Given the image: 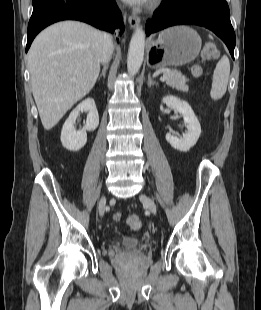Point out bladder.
<instances>
[{
  "mask_svg": "<svg viewBox=\"0 0 261 310\" xmlns=\"http://www.w3.org/2000/svg\"><path fill=\"white\" fill-rule=\"evenodd\" d=\"M120 245L128 250H134L140 247L141 241L136 237H125L120 241Z\"/></svg>",
  "mask_w": 261,
  "mask_h": 310,
  "instance_id": "1",
  "label": "bladder"
}]
</instances>
